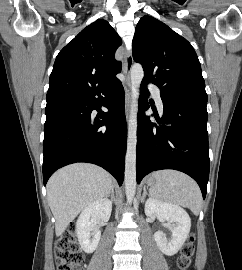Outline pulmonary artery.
<instances>
[{"mask_svg":"<svg viewBox=\"0 0 242 270\" xmlns=\"http://www.w3.org/2000/svg\"><path fill=\"white\" fill-rule=\"evenodd\" d=\"M149 88L155 98V101L157 103V106L160 110L163 109V102H162V99H161V96H160V89L158 86H156L155 84H152L150 83L149 84Z\"/></svg>","mask_w":242,"mask_h":270,"instance_id":"1","label":"pulmonary artery"}]
</instances>
